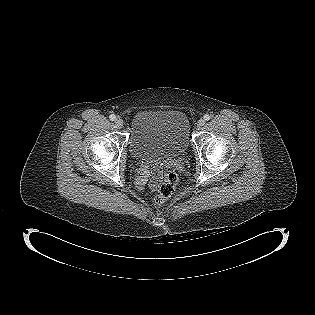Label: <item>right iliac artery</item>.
I'll return each instance as SVG.
<instances>
[{
  "mask_svg": "<svg viewBox=\"0 0 315 315\" xmlns=\"http://www.w3.org/2000/svg\"><path fill=\"white\" fill-rule=\"evenodd\" d=\"M109 118H110L111 121H114V120L116 119V116H115L114 114H111V115L109 116Z\"/></svg>",
  "mask_w": 315,
  "mask_h": 315,
  "instance_id": "right-iliac-artery-1",
  "label": "right iliac artery"
}]
</instances>
